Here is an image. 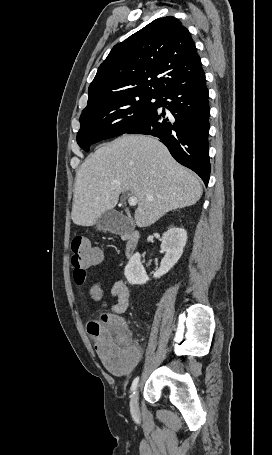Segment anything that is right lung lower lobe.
<instances>
[{"mask_svg":"<svg viewBox=\"0 0 272 455\" xmlns=\"http://www.w3.org/2000/svg\"><path fill=\"white\" fill-rule=\"evenodd\" d=\"M165 106V110L159 108ZM209 113L208 89L204 73L178 85L160 96L157 108L130 128L127 134L158 137L182 165L209 182Z\"/></svg>","mask_w":272,"mask_h":455,"instance_id":"right-lung-lower-lobe-1","label":"right lung lower lobe"}]
</instances>
